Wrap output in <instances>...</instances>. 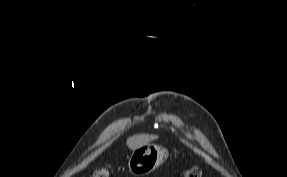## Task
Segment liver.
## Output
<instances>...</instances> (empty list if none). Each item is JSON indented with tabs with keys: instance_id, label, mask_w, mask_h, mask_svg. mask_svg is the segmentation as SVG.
I'll return each mask as SVG.
<instances>
[{
	"instance_id": "6515ba94",
	"label": "liver",
	"mask_w": 287,
	"mask_h": 177,
	"mask_svg": "<svg viewBox=\"0 0 287 177\" xmlns=\"http://www.w3.org/2000/svg\"><path fill=\"white\" fill-rule=\"evenodd\" d=\"M157 139L155 135H148V134H138L127 139V146L134 150L140 146L148 144L149 142Z\"/></svg>"
}]
</instances>
